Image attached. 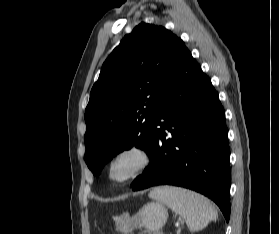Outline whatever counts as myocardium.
Returning <instances> with one entry per match:
<instances>
[{"instance_id":"1","label":"myocardium","mask_w":279,"mask_h":234,"mask_svg":"<svg viewBox=\"0 0 279 234\" xmlns=\"http://www.w3.org/2000/svg\"><path fill=\"white\" fill-rule=\"evenodd\" d=\"M125 159L133 161L132 168L122 177H117L114 174L116 166ZM151 162V155L144 147L131 144L113 155L107 166V177L109 181L117 186L126 185L139 175H141Z\"/></svg>"}]
</instances>
